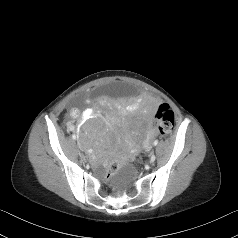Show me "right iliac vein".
Listing matches in <instances>:
<instances>
[{
    "instance_id": "1",
    "label": "right iliac vein",
    "mask_w": 238,
    "mask_h": 238,
    "mask_svg": "<svg viewBox=\"0 0 238 238\" xmlns=\"http://www.w3.org/2000/svg\"><path fill=\"white\" fill-rule=\"evenodd\" d=\"M77 154L79 157H82V153L80 151H77Z\"/></svg>"
}]
</instances>
